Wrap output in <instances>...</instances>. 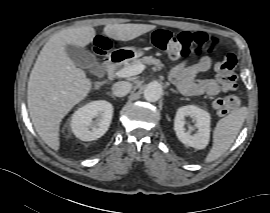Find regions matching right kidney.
Returning <instances> with one entry per match:
<instances>
[{"mask_svg":"<svg viewBox=\"0 0 270 213\" xmlns=\"http://www.w3.org/2000/svg\"><path fill=\"white\" fill-rule=\"evenodd\" d=\"M113 106L105 100L93 101L79 108L72 116L70 127L74 135L83 141H92L108 130ZM96 118L95 121L93 119Z\"/></svg>","mask_w":270,"mask_h":213,"instance_id":"right-kidney-1","label":"right kidney"}]
</instances>
